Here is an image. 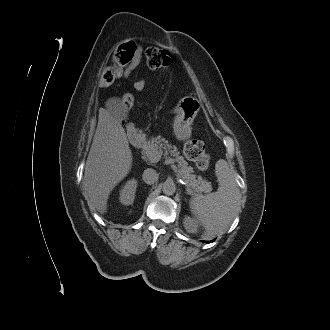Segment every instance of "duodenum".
Wrapping results in <instances>:
<instances>
[{
    "mask_svg": "<svg viewBox=\"0 0 330 330\" xmlns=\"http://www.w3.org/2000/svg\"><path fill=\"white\" fill-rule=\"evenodd\" d=\"M127 135H128L129 140L131 141V143L134 146L141 145L144 140L143 134H141L134 128H129L127 131Z\"/></svg>",
    "mask_w": 330,
    "mask_h": 330,
    "instance_id": "410a0bca",
    "label": "duodenum"
}]
</instances>
